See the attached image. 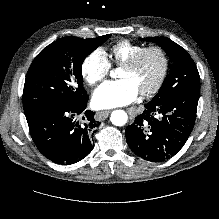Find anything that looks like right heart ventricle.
Listing matches in <instances>:
<instances>
[{
	"instance_id": "right-heart-ventricle-1",
	"label": "right heart ventricle",
	"mask_w": 219,
	"mask_h": 219,
	"mask_svg": "<svg viewBox=\"0 0 219 219\" xmlns=\"http://www.w3.org/2000/svg\"><path fill=\"white\" fill-rule=\"evenodd\" d=\"M143 47V45L127 39L120 40L110 48L109 62L113 65L121 66Z\"/></svg>"
}]
</instances>
